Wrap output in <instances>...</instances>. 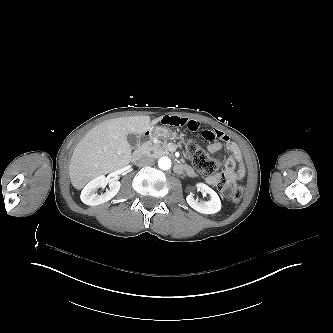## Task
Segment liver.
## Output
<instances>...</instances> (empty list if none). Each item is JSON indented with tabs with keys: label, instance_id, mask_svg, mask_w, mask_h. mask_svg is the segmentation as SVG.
Returning <instances> with one entry per match:
<instances>
[{
	"label": "liver",
	"instance_id": "6515ba94",
	"mask_svg": "<svg viewBox=\"0 0 333 333\" xmlns=\"http://www.w3.org/2000/svg\"><path fill=\"white\" fill-rule=\"evenodd\" d=\"M164 116L150 120L147 115L106 120L91 128L75 146L69 164L73 187L82 190L94 178L127 166L132 150L127 137L142 136Z\"/></svg>",
	"mask_w": 333,
	"mask_h": 333
}]
</instances>
